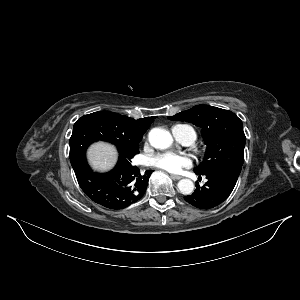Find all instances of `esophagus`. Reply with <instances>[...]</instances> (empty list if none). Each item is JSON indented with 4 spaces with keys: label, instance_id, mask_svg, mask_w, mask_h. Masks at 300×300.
Instances as JSON below:
<instances>
[{
    "label": "esophagus",
    "instance_id": "obj_1",
    "mask_svg": "<svg viewBox=\"0 0 300 300\" xmlns=\"http://www.w3.org/2000/svg\"><path fill=\"white\" fill-rule=\"evenodd\" d=\"M171 178L174 179V180H180V179H182V176H179V175H171Z\"/></svg>",
    "mask_w": 300,
    "mask_h": 300
}]
</instances>
